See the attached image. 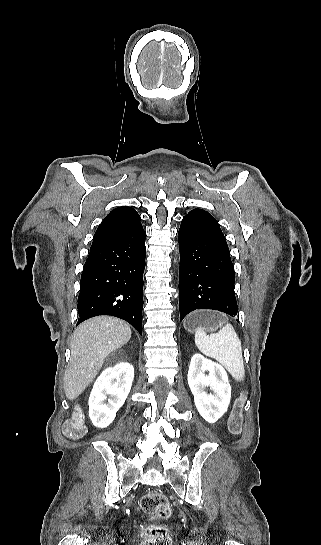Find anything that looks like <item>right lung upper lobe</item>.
Instances as JSON below:
<instances>
[{"mask_svg":"<svg viewBox=\"0 0 321 545\" xmlns=\"http://www.w3.org/2000/svg\"><path fill=\"white\" fill-rule=\"evenodd\" d=\"M140 225V216L133 208L118 207L102 221L94 235L93 243L119 236Z\"/></svg>","mask_w":321,"mask_h":545,"instance_id":"cb5924a9","label":"right lung upper lobe"}]
</instances>
